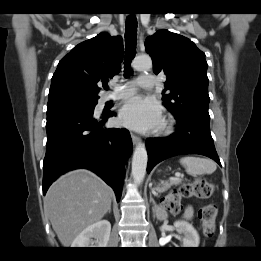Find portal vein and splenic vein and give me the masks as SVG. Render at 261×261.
Returning <instances> with one entry per match:
<instances>
[{
    "instance_id": "1",
    "label": "portal vein and splenic vein",
    "mask_w": 261,
    "mask_h": 261,
    "mask_svg": "<svg viewBox=\"0 0 261 261\" xmlns=\"http://www.w3.org/2000/svg\"><path fill=\"white\" fill-rule=\"evenodd\" d=\"M175 176H176V178L171 179V182L176 184L177 182L180 181V177H182V175L179 173H176Z\"/></svg>"
}]
</instances>
